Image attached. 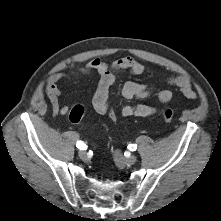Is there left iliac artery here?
<instances>
[{"label": "left iliac artery", "instance_id": "left-iliac-artery-1", "mask_svg": "<svg viewBox=\"0 0 221 221\" xmlns=\"http://www.w3.org/2000/svg\"><path fill=\"white\" fill-rule=\"evenodd\" d=\"M128 149L131 151H135L137 149V145L136 144H130L128 145Z\"/></svg>", "mask_w": 221, "mask_h": 221}]
</instances>
